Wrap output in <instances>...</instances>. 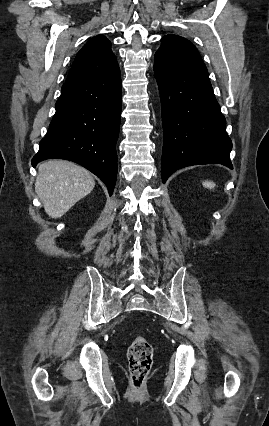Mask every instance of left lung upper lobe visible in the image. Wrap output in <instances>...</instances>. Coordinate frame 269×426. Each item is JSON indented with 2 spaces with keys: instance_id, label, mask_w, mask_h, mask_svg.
I'll return each mask as SVG.
<instances>
[{
  "instance_id": "1",
  "label": "left lung upper lobe",
  "mask_w": 269,
  "mask_h": 426,
  "mask_svg": "<svg viewBox=\"0 0 269 426\" xmlns=\"http://www.w3.org/2000/svg\"><path fill=\"white\" fill-rule=\"evenodd\" d=\"M164 37H175V38H183V37H181V36H178V35H174V34L166 35V36H164Z\"/></svg>"
}]
</instances>
